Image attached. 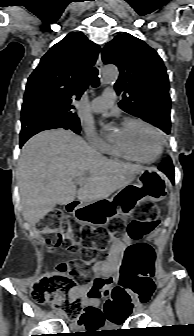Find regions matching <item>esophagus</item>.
Instances as JSON below:
<instances>
[{"mask_svg":"<svg viewBox=\"0 0 194 336\" xmlns=\"http://www.w3.org/2000/svg\"><path fill=\"white\" fill-rule=\"evenodd\" d=\"M103 66V62H102V57H101V53L98 54V58L96 61V67L101 70Z\"/></svg>","mask_w":194,"mask_h":336,"instance_id":"obj_1","label":"esophagus"}]
</instances>
